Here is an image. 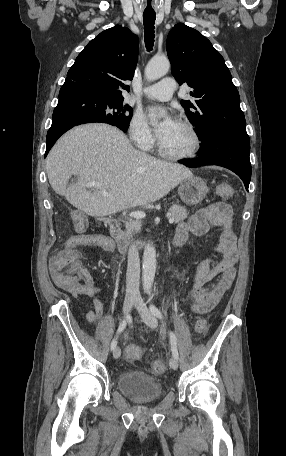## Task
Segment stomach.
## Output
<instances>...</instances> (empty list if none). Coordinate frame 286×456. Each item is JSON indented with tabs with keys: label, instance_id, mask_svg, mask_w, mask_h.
Listing matches in <instances>:
<instances>
[{
	"label": "stomach",
	"instance_id": "stomach-1",
	"mask_svg": "<svg viewBox=\"0 0 286 456\" xmlns=\"http://www.w3.org/2000/svg\"><path fill=\"white\" fill-rule=\"evenodd\" d=\"M178 193L186 205H197L206 197L208 187L200 177H192L180 183Z\"/></svg>",
	"mask_w": 286,
	"mask_h": 456
}]
</instances>
